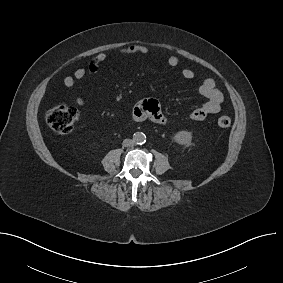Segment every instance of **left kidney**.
I'll use <instances>...</instances> for the list:
<instances>
[{
    "mask_svg": "<svg viewBox=\"0 0 283 283\" xmlns=\"http://www.w3.org/2000/svg\"><path fill=\"white\" fill-rule=\"evenodd\" d=\"M174 140L180 145H189L192 141V133L188 131H179L175 134Z\"/></svg>",
    "mask_w": 283,
    "mask_h": 283,
    "instance_id": "left-kidney-1",
    "label": "left kidney"
}]
</instances>
